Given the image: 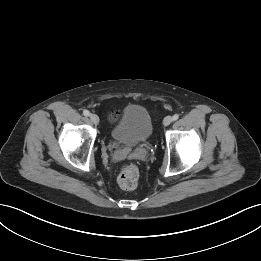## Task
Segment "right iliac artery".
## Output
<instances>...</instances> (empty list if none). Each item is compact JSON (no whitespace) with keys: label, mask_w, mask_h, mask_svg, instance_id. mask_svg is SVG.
Here are the masks:
<instances>
[{"label":"right iliac artery","mask_w":261,"mask_h":261,"mask_svg":"<svg viewBox=\"0 0 261 261\" xmlns=\"http://www.w3.org/2000/svg\"><path fill=\"white\" fill-rule=\"evenodd\" d=\"M83 114H84L85 116H89V115H90V112H89L88 110H84V111H83Z\"/></svg>","instance_id":"obj_1"}]
</instances>
